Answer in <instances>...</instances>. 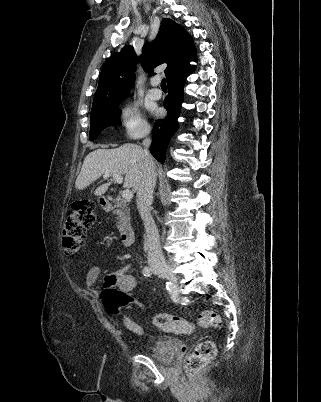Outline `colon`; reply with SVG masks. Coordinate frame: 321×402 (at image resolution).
<instances>
[{
	"mask_svg": "<svg viewBox=\"0 0 321 402\" xmlns=\"http://www.w3.org/2000/svg\"><path fill=\"white\" fill-rule=\"evenodd\" d=\"M94 207L91 202H77L69 209L63 227V246L67 254L75 255L82 247L87 231L94 225ZM102 303L110 315H118L121 308L131 302V297L122 289L109 287L103 290ZM153 324L162 331L184 334L191 332L195 326L201 328H219L220 316L211 310L199 313L196 324L183 318L159 313L152 318ZM214 342L207 340L197 344L186 359L185 372L194 376L208 365L216 356Z\"/></svg>",
	"mask_w": 321,
	"mask_h": 402,
	"instance_id": "5ec220e1",
	"label": "colon"
}]
</instances>
